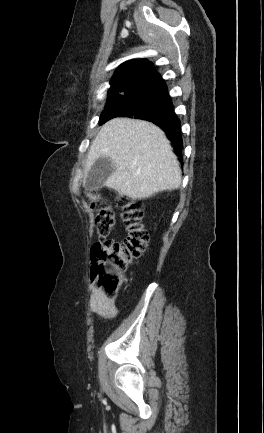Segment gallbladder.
I'll list each match as a JSON object with an SVG mask.
<instances>
[{"mask_svg": "<svg viewBox=\"0 0 264 433\" xmlns=\"http://www.w3.org/2000/svg\"><path fill=\"white\" fill-rule=\"evenodd\" d=\"M114 171L115 165L113 161L108 157L101 156L95 161L88 176L85 178L83 182L84 188L87 190L101 189Z\"/></svg>", "mask_w": 264, "mask_h": 433, "instance_id": "gallbladder-1", "label": "gallbladder"}]
</instances>
